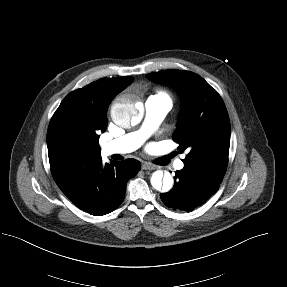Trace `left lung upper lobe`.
I'll return each mask as SVG.
<instances>
[{"label": "left lung upper lobe", "instance_id": "obj_1", "mask_svg": "<svg viewBox=\"0 0 287 287\" xmlns=\"http://www.w3.org/2000/svg\"><path fill=\"white\" fill-rule=\"evenodd\" d=\"M156 83L175 88L183 100L173 140L183 163L196 167L221 183L228 164L230 121L220 95L199 75L190 71L165 70L146 75Z\"/></svg>", "mask_w": 287, "mask_h": 287}]
</instances>
